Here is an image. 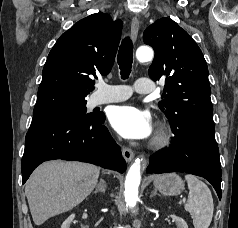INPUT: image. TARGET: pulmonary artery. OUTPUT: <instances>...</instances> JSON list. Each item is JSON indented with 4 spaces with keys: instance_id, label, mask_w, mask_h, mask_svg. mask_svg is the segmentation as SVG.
<instances>
[{
    "instance_id": "1",
    "label": "pulmonary artery",
    "mask_w": 238,
    "mask_h": 228,
    "mask_svg": "<svg viewBox=\"0 0 238 228\" xmlns=\"http://www.w3.org/2000/svg\"><path fill=\"white\" fill-rule=\"evenodd\" d=\"M135 91L141 94L152 93V80L148 78L138 79L135 83ZM131 94V89L126 85H109L106 83H100L99 91L95 96V103L105 104L111 102H119L128 99Z\"/></svg>"
}]
</instances>
